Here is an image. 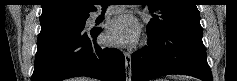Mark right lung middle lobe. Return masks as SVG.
Instances as JSON below:
<instances>
[{
    "mask_svg": "<svg viewBox=\"0 0 237 81\" xmlns=\"http://www.w3.org/2000/svg\"><path fill=\"white\" fill-rule=\"evenodd\" d=\"M88 17H89V16L63 18V19H57V20H51V21L41 22V24L53 23V22H74V23L85 24L86 19H87Z\"/></svg>",
    "mask_w": 237,
    "mask_h": 81,
    "instance_id": "1",
    "label": "right lung middle lobe"
}]
</instances>
